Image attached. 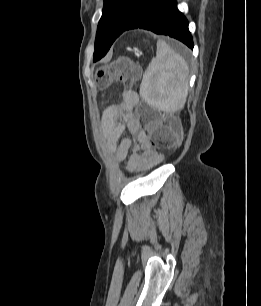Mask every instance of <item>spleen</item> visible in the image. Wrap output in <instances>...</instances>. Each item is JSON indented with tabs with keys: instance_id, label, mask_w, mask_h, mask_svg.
Listing matches in <instances>:
<instances>
[{
	"instance_id": "spleen-1",
	"label": "spleen",
	"mask_w": 261,
	"mask_h": 306,
	"mask_svg": "<svg viewBox=\"0 0 261 306\" xmlns=\"http://www.w3.org/2000/svg\"><path fill=\"white\" fill-rule=\"evenodd\" d=\"M189 67L185 59L165 41L157 42L156 57L147 67L140 85V96L162 111L182 109L188 95Z\"/></svg>"
}]
</instances>
